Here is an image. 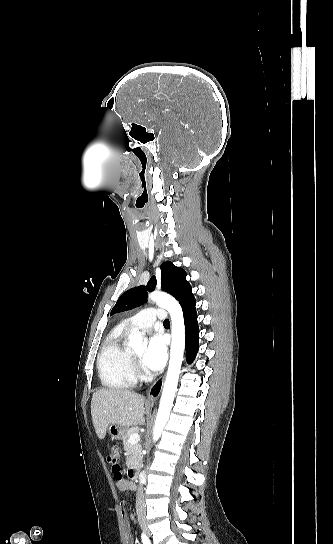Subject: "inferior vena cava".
<instances>
[{"instance_id": "inferior-vena-cava-1", "label": "inferior vena cava", "mask_w": 333, "mask_h": 544, "mask_svg": "<svg viewBox=\"0 0 333 544\" xmlns=\"http://www.w3.org/2000/svg\"><path fill=\"white\" fill-rule=\"evenodd\" d=\"M145 501H144V494H143V485H139L137 495H136V513L138 518H141L145 515L146 508H145Z\"/></svg>"}]
</instances>
